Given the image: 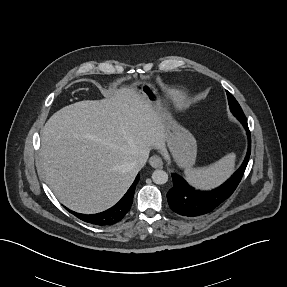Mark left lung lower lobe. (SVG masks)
Masks as SVG:
<instances>
[{
	"label": "left lung lower lobe",
	"mask_w": 287,
	"mask_h": 287,
	"mask_svg": "<svg viewBox=\"0 0 287 287\" xmlns=\"http://www.w3.org/2000/svg\"><path fill=\"white\" fill-rule=\"evenodd\" d=\"M248 137V150L241 167L221 186L210 191L195 190L181 176L172 173L173 186L167 193L168 204L172 211L186 218L206 215L228 199L242 179L251 153V136L245 118H238Z\"/></svg>",
	"instance_id": "left-lung-lower-lobe-1"
}]
</instances>
